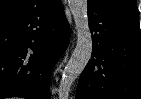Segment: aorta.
I'll use <instances>...</instances> for the list:
<instances>
[{"label": "aorta", "mask_w": 141, "mask_h": 99, "mask_svg": "<svg viewBox=\"0 0 141 99\" xmlns=\"http://www.w3.org/2000/svg\"><path fill=\"white\" fill-rule=\"evenodd\" d=\"M68 4L75 22L77 43L60 80V99L68 96L72 84L82 73L92 54V36L87 14V0H68Z\"/></svg>", "instance_id": "1"}]
</instances>
